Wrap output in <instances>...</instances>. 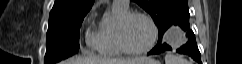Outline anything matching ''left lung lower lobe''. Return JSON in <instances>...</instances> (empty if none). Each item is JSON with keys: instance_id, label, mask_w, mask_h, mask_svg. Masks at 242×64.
<instances>
[{"instance_id": "left-lung-lower-lobe-1", "label": "left lung lower lobe", "mask_w": 242, "mask_h": 64, "mask_svg": "<svg viewBox=\"0 0 242 64\" xmlns=\"http://www.w3.org/2000/svg\"><path fill=\"white\" fill-rule=\"evenodd\" d=\"M177 26L187 32L186 36L189 38V40L186 44L177 49L176 52L189 55L195 61H197L198 64H202L201 55L196 44L195 35L190 29L189 18L181 21L179 24H177ZM168 50H172V48L166 43H157V45L148 53V55L160 54Z\"/></svg>"}]
</instances>
